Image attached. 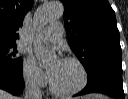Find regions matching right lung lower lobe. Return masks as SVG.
<instances>
[{"label":"right lung lower lobe","mask_w":128,"mask_h":99,"mask_svg":"<svg viewBox=\"0 0 128 99\" xmlns=\"http://www.w3.org/2000/svg\"><path fill=\"white\" fill-rule=\"evenodd\" d=\"M0 89L6 90L13 95H20L24 89L23 74L13 76L0 72Z\"/></svg>","instance_id":"obj_1"}]
</instances>
